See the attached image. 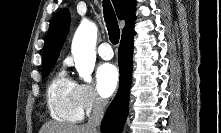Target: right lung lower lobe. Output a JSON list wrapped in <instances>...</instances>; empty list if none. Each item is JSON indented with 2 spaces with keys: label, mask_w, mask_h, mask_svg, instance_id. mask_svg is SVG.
Returning <instances> with one entry per match:
<instances>
[{
  "label": "right lung lower lobe",
  "mask_w": 221,
  "mask_h": 133,
  "mask_svg": "<svg viewBox=\"0 0 221 133\" xmlns=\"http://www.w3.org/2000/svg\"><path fill=\"white\" fill-rule=\"evenodd\" d=\"M131 32L122 36L119 47V90L108 107L101 123L102 133H121L127 118L129 106V94L132 78L133 36Z\"/></svg>",
  "instance_id": "1"
}]
</instances>
